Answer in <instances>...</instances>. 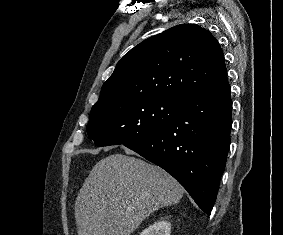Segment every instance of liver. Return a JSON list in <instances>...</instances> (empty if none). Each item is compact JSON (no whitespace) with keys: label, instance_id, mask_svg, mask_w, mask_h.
<instances>
[{"label":"liver","instance_id":"1","mask_svg":"<svg viewBox=\"0 0 283 235\" xmlns=\"http://www.w3.org/2000/svg\"><path fill=\"white\" fill-rule=\"evenodd\" d=\"M125 152L101 159L86 178L75 202L78 235H130L182 198L183 188L165 170Z\"/></svg>","mask_w":283,"mask_h":235}]
</instances>
